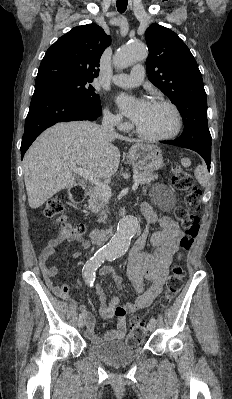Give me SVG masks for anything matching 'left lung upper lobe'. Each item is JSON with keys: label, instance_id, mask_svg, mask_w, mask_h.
<instances>
[{"label": "left lung upper lobe", "instance_id": "5c2ea615", "mask_svg": "<svg viewBox=\"0 0 232 399\" xmlns=\"http://www.w3.org/2000/svg\"><path fill=\"white\" fill-rule=\"evenodd\" d=\"M145 40L148 79L177 106L183 118L184 131L176 140L211 150L207 96L192 53L175 32L156 23L146 30Z\"/></svg>", "mask_w": 232, "mask_h": 399}]
</instances>
